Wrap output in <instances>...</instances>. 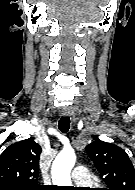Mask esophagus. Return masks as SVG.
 Returning <instances> with one entry per match:
<instances>
[{
    "mask_svg": "<svg viewBox=\"0 0 135 190\" xmlns=\"http://www.w3.org/2000/svg\"><path fill=\"white\" fill-rule=\"evenodd\" d=\"M62 115H63L64 117L72 116V112H71V110H70L69 108H64V109L62 110Z\"/></svg>",
    "mask_w": 135,
    "mask_h": 190,
    "instance_id": "obj_1",
    "label": "esophagus"
}]
</instances>
